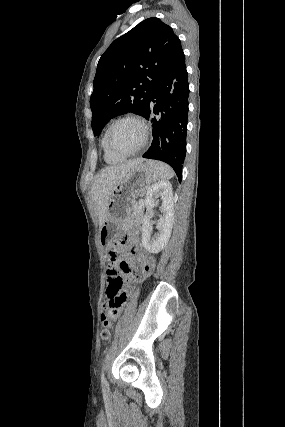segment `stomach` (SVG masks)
I'll return each instance as SVG.
<instances>
[{
	"label": "stomach",
	"instance_id": "stomach-1",
	"mask_svg": "<svg viewBox=\"0 0 285 427\" xmlns=\"http://www.w3.org/2000/svg\"><path fill=\"white\" fill-rule=\"evenodd\" d=\"M155 173L149 164L135 165L125 180L111 194L106 219L100 228V244L107 246L119 233L122 225L129 220L135 199L146 191L155 180Z\"/></svg>",
	"mask_w": 285,
	"mask_h": 427
}]
</instances>
